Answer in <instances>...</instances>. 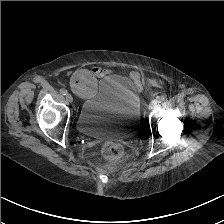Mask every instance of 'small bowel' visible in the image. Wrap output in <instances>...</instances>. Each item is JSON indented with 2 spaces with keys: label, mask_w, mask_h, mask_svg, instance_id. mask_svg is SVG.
Masks as SVG:
<instances>
[{
  "label": "small bowel",
  "mask_w": 224,
  "mask_h": 224,
  "mask_svg": "<svg viewBox=\"0 0 224 224\" xmlns=\"http://www.w3.org/2000/svg\"><path fill=\"white\" fill-rule=\"evenodd\" d=\"M92 71L98 76V77H104L106 75H109L112 73V70L109 68H102L100 66H95L92 68ZM133 83L138 87L141 88L142 87V82L140 79V76L137 72H132L130 75Z\"/></svg>",
  "instance_id": "obj_1"
}]
</instances>
